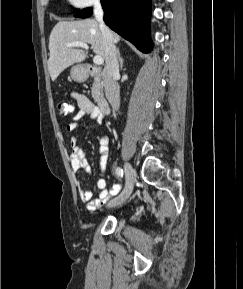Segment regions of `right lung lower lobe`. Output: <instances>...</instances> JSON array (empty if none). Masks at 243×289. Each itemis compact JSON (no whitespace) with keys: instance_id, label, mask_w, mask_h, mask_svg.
Returning <instances> with one entry per match:
<instances>
[{"instance_id":"right-lung-lower-lobe-1","label":"right lung lower lobe","mask_w":243,"mask_h":289,"mask_svg":"<svg viewBox=\"0 0 243 289\" xmlns=\"http://www.w3.org/2000/svg\"><path fill=\"white\" fill-rule=\"evenodd\" d=\"M105 23L116 33L133 43L140 51L150 52L151 0H101ZM92 9H83L74 16L87 18Z\"/></svg>"}]
</instances>
